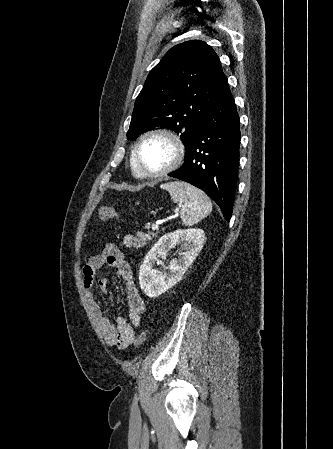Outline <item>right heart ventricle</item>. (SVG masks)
<instances>
[{"instance_id": "e07e8e85", "label": "right heart ventricle", "mask_w": 333, "mask_h": 449, "mask_svg": "<svg viewBox=\"0 0 333 449\" xmlns=\"http://www.w3.org/2000/svg\"><path fill=\"white\" fill-rule=\"evenodd\" d=\"M130 168H131L132 174H133L135 177L140 178V176H139V174H138V171H137V168H136V165H135V163H134L133 156H131V159H130Z\"/></svg>"}]
</instances>
